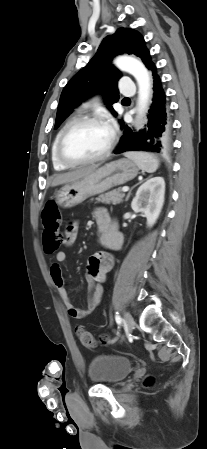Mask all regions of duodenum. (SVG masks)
<instances>
[{
	"label": "duodenum",
	"instance_id": "1",
	"mask_svg": "<svg viewBox=\"0 0 207 449\" xmlns=\"http://www.w3.org/2000/svg\"><path fill=\"white\" fill-rule=\"evenodd\" d=\"M98 229L100 230V232H102V229H100L99 226H98Z\"/></svg>",
	"mask_w": 207,
	"mask_h": 449
}]
</instances>
